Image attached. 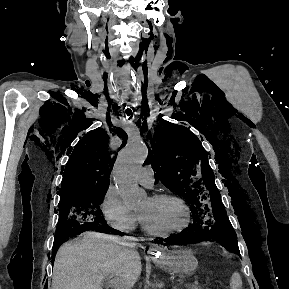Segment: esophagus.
Instances as JSON below:
<instances>
[{
    "label": "esophagus",
    "instance_id": "obj_1",
    "mask_svg": "<svg viewBox=\"0 0 289 289\" xmlns=\"http://www.w3.org/2000/svg\"><path fill=\"white\" fill-rule=\"evenodd\" d=\"M160 250V247L157 246V245H151L149 248H148V254L152 257L156 256L157 253L159 252Z\"/></svg>",
    "mask_w": 289,
    "mask_h": 289
}]
</instances>
